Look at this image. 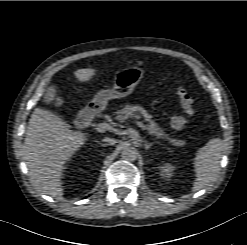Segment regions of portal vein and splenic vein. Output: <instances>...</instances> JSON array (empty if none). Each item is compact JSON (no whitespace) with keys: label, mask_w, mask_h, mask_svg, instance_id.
Segmentation results:
<instances>
[{"label":"portal vein and splenic vein","mask_w":247,"mask_h":245,"mask_svg":"<svg viewBox=\"0 0 247 245\" xmlns=\"http://www.w3.org/2000/svg\"><path fill=\"white\" fill-rule=\"evenodd\" d=\"M140 128H142V130L146 131L147 128L146 126L142 123V122H135ZM107 129V124L105 123H100L96 126V131L98 132H105Z\"/></svg>","instance_id":"obj_1"}]
</instances>
